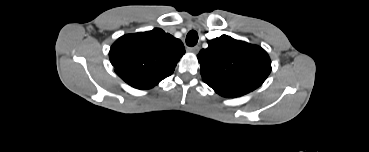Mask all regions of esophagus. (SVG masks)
Returning a JSON list of instances; mask_svg holds the SVG:
<instances>
[{"mask_svg": "<svg viewBox=\"0 0 369 152\" xmlns=\"http://www.w3.org/2000/svg\"><path fill=\"white\" fill-rule=\"evenodd\" d=\"M199 50H200V47L199 46H194V47H188L187 48V51L188 52L195 53V54L198 53Z\"/></svg>", "mask_w": 369, "mask_h": 152, "instance_id": "esophagus-1", "label": "esophagus"}]
</instances>
